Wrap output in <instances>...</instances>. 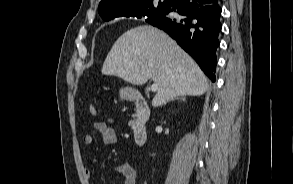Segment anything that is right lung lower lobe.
<instances>
[{"mask_svg": "<svg viewBox=\"0 0 293 184\" xmlns=\"http://www.w3.org/2000/svg\"><path fill=\"white\" fill-rule=\"evenodd\" d=\"M218 0H170L161 19L147 21L167 32L199 64L204 73L215 81L216 49L222 28ZM169 12L176 18H167Z\"/></svg>", "mask_w": 293, "mask_h": 184, "instance_id": "right-lung-lower-lobe-1", "label": "right lung lower lobe"}]
</instances>
